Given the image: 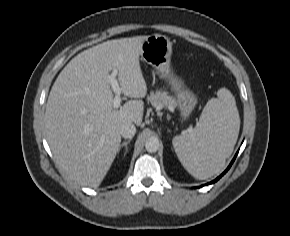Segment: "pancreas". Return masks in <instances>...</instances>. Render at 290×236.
Instances as JSON below:
<instances>
[{
    "label": "pancreas",
    "instance_id": "obj_1",
    "mask_svg": "<svg viewBox=\"0 0 290 236\" xmlns=\"http://www.w3.org/2000/svg\"><path fill=\"white\" fill-rule=\"evenodd\" d=\"M148 101L155 108H168L169 110H173L175 107L174 99L167 94L165 91H156L155 93H151L148 97Z\"/></svg>",
    "mask_w": 290,
    "mask_h": 236
}]
</instances>
